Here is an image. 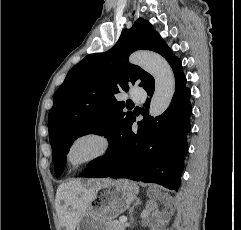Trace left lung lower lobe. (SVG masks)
I'll use <instances>...</instances> for the list:
<instances>
[{"mask_svg": "<svg viewBox=\"0 0 241 230\" xmlns=\"http://www.w3.org/2000/svg\"><path fill=\"white\" fill-rule=\"evenodd\" d=\"M173 69L175 93L168 109L160 116H149L142 112L138 131H132V118L111 141L105 155L91 161L80 177L127 178L160 184L169 189H178L187 151V134L190 131V90L185 86L186 77L181 61L174 56L169 61ZM154 81L144 89L151 97Z\"/></svg>", "mask_w": 241, "mask_h": 230, "instance_id": "1", "label": "left lung lower lobe"}]
</instances>
